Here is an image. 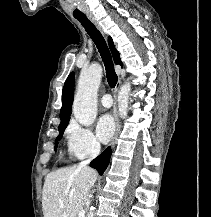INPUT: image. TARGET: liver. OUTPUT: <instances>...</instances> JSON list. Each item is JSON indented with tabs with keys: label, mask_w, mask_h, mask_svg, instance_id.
I'll return each mask as SVG.
<instances>
[{
	"label": "liver",
	"mask_w": 211,
	"mask_h": 217,
	"mask_svg": "<svg viewBox=\"0 0 211 217\" xmlns=\"http://www.w3.org/2000/svg\"><path fill=\"white\" fill-rule=\"evenodd\" d=\"M97 173L89 167L72 166L49 173L42 192L44 217H76L89 205V192Z\"/></svg>",
	"instance_id": "1"
}]
</instances>
